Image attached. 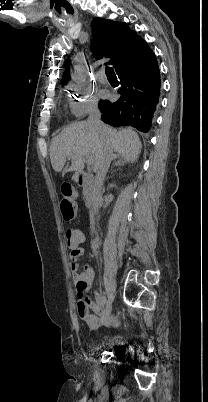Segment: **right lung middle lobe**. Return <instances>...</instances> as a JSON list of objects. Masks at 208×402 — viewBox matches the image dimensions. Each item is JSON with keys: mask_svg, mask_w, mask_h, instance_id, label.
Masks as SVG:
<instances>
[{"mask_svg": "<svg viewBox=\"0 0 208 402\" xmlns=\"http://www.w3.org/2000/svg\"><path fill=\"white\" fill-rule=\"evenodd\" d=\"M108 101L107 100H101L100 102H99V105H103V104H105V103H107Z\"/></svg>", "mask_w": 208, "mask_h": 402, "instance_id": "right-lung-middle-lobe-1", "label": "right lung middle lobe"}]
</instances>
